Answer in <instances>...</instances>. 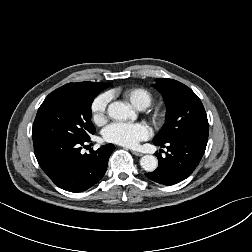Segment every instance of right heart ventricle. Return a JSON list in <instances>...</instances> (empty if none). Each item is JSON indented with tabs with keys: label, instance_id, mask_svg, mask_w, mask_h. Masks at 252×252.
I'll return each mask as SVG.
<instances>
[{
	"label": "right heart ventricle",
	"instance_id": "obj_1",
	"mask_svg": "<svg viewBox=\"0 0 252 252\" xmlns=\"http://www.w3.org/2000/svg\"><path fill=\"white\" fill-rule=\"evenodd\" d=\"M123 96L136 108L145 109L153 102V94L146 88L133 87L126 89Z\"/></svg>",
	"mask_w": 252,
	"mask_h": 252
}]
</instances>
